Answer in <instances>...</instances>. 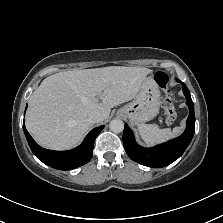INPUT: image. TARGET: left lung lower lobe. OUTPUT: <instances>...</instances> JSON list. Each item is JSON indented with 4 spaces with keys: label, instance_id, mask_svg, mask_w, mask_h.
Instances as JSON below:
<instances>
[{
    "label": "left lung lower lobe",
    "instance_id": "left-lung-lower-lobe-1",
    "mask_svg": "<svg viewBox=\"0 0 223 223\" xmlns=\"http://www.w3.org/2000/svg\"><path fill=\"white\" fill-rule=\"evenodd\" d=\"M177 81L183 86V93L190 111L186 130L181 136L152 148H143L135 142L133 132L125 124L123 143L126 153L132 160L142 165L161 168L171 164L184 153L193 138L195 132L194 104L186 85L180 80Z\"/></svg>",
    "mask_w": 223,
    "mask_h": 223
}]
</instances>
